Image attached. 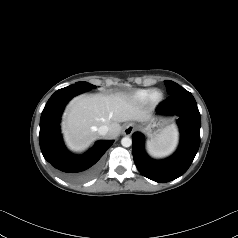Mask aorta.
Listing matches in <instances>:
<instances>
[{"instance_id":"aorta-1","label":"aorta","mask_w":238,"mask_h":238,"mask_svg":"<svg viewBox=\"0 0 238 238\" xmlns=\"http://www.w3.org/2000/svg\"><path fill=\"white\" fill-rule=\"evenodd\" d=\"M121 144L123 147H130L132 145V139L130 137H124L121 140Z\"/></svg>"}]
</instances>
